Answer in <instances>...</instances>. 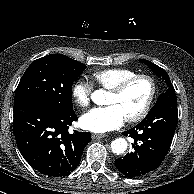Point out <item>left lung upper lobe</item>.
Listing matches in <instances>:
<instances>
[{
  "mask_svg": "<svg viewBox=\"0 0 194 194\" xmlns=\"http://www.w3.org/2000/svg\"><path fill=\"white\" fill-rule=\"evenodd\" d=\"M140 62L144 63L150 69H152L156 75H158L159 77H162L166 81V84L168 86V89L166 90V92L162 93L159 96L158 100L156 101V104L166 99H176V93H175L174 87L166 71L163 68L155 65L154 63L148 60H140Z\"/></svg>",
  "mask_w": 194,
  "mask_h": 194,
  "instance_id": "5c2ea615",
  "label": "left lung upper lobe"
}]
</instances>
